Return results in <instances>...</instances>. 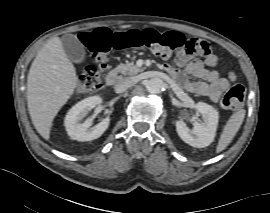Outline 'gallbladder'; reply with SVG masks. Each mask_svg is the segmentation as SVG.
<instances>
[{
	"label": "gallbladder",
	"mask_w": 270,
	"mask_h": 213,
	"mask_svg": "<svg viewBox=\"0 0 270 213\" xmlns=\"http://www.w3.org/2000/svg\"><path fill=\"white\" fill-rule=\"evenodd\" d=\"M61 42L64 52L70 61L79 63L84 60V46L75 35L65 34L61 38Z\"/></svg>",
	"instance_id": "bac80fb5"
}]
</instances>
